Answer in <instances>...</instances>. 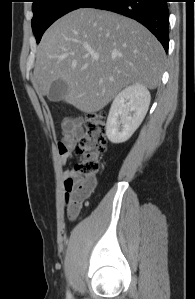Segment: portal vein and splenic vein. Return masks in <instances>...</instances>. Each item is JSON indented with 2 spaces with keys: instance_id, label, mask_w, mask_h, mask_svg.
<instances>
[{
  "instance_id": "18ae733b",
  "label": "portal vein and splenic vein",
  "mask_w": 195,
  "mask_h": 299,
  "mask_svg": "<svg viewBox=\"0 0 195 299\" xmlns=\"http://www.w3.org/2000/svg\"><path fill=\"white\" fill-rule=\"evenodd\" d=\"M94 59H98V57L96 56V57H94Z\"/></svg>"
}]
</instances>
